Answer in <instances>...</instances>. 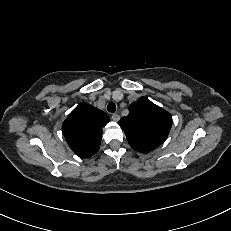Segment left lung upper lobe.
I'll return each mask as SVG.
<instances>
[{
    "label": "left lung upper lobe",
    "mask_w": 231,
    "mask_h": 231,
    "mask_svg": "<svg viewBox=\"0 0 231 231\" xmlns=\"http://www.w3.org/2000/svg\"><path fill=\"white\" fill-rule=\"evenodd\" d=\"M130 146L148 153L161 145L172 126V116L146 97L129 106V115L119 120Z\"/></svg>",
    "instance_id": "5c2ea615"
}]
</instances>
